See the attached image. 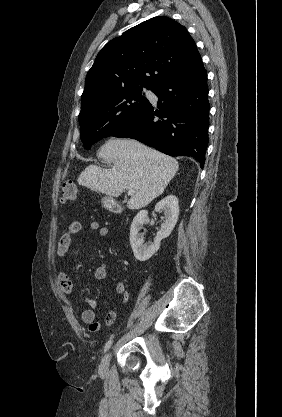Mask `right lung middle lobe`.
I'll use <instances>...</instances> for the list:
<instances>
[{
	"mask_svg": "<svg viewBox=\"0 0 282 417\" xmlns=\"http://www.w3.org/2000/svg\"><path fill=\"white\" fill-rule=\"evenodd\" d=\"M142 90L135 87L106 92L81 101L80 135L86 150L103 137L112 136L137 117L150 103L142 95Z\"/></svg>",
	"mask_w": 282,
	"mask_h": 417,
	"instance_id": "obj_1",
	"label": "right lung middle lobe"
}]
</instances>
